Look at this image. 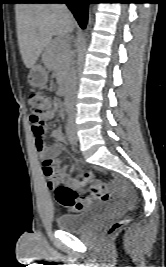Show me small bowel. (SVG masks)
Returning <instances> with one entry per match:
<instances>
[{
    "label": "small bowel",
    "instance_id": "1",
    "mask_svg": "<svg viewBox=\"0 0 166 267\" xmlns=\"http://www.w3.org/2000/svg\"><path fill=\"white\" fill-rule=\"evenodd\" d=\"M58 108H59L58 103H54L53 108L50 109L49 111H47L46 113H44L40 117L39 121H35L30 117L31 130H32V133L34 136V141H35V145H36V148L38 150V153L42 158L45 159L44 161L49 160V161H51V163L54 166V174L53 175H47L44 171V174L48 179L50 187L54 186L55 168L57 167V163H58V160L56 158L61 152V146L58 143H56V144L48 147L45 145V141L42 145H40L39 141H38V132L40 129L43 131V126H44L45 122L52 119L55 116ZM52 137L55 139V141L62 142L64 139V134H63L62 129L59 128V129H56L55 131H53ZM56 175L59 179L63 180L67 184L74 185L73 178L70 175H68L66 166L62 167L60 169H57ZM111 188L124 189L125 185L121 179L115 178L114 181H112V183H111ZM95 190L99 191L100 187L96 186ZM91 195L93 197H101L102 201H113V195L114 194H113V192H103V193L102 192H93ZM131 197L133 198V195H131ZM91 201H92L91 198H87L86 199L87 205L90 204Z\"/></svg>",
    "mask_w": 166,
    "mask_h": 267
}]
</instances>
